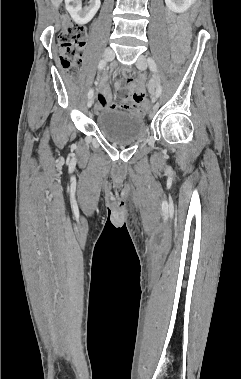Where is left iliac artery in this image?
I'll return each mask as SVG.
<instances>
[{
    "label": "left iliac artery",
    "mask_w": 241,
    "mask_h": 379,
    "mask_svg": "<svg viewBox=\"0 0 241 379\" xmlns=\"http://www.w3.org/2000/svg\"><path fill=\"white\" fill-rule=\"evenodd\" d=\"M148 64H149V67L150 69L155 73L157 74V66H156V63L154 61L153 58L149 57L148 58ZM158 80H159V77L157 76ZM161 92H162V88H161V85L160 83L158 84L157 86V89H156V95L159 97L161 95Z\"/></svg>",
    "instance_id": "obj_1"
}]
</instances>
